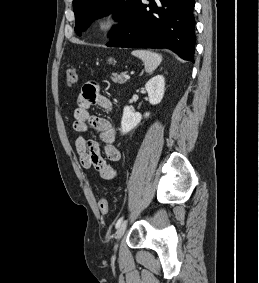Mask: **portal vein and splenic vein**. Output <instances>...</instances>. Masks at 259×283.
<instances>
[{"label": "portal vein and splenic vein", "instance_id": "obj_1", "mask_svg": "<svg viewBox=\"0 0 259 283\" xmlns=\"http://www.w3.org/2000/svg\"><path fill=\"white\" fill-rule=\"evenodd\" d=\"M125 78H126V79H130V76L126 74V75H125Z\"/></svg>", "mask_w": 259, "mask_h": 283}]
</instances>
